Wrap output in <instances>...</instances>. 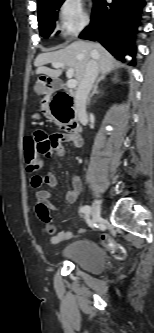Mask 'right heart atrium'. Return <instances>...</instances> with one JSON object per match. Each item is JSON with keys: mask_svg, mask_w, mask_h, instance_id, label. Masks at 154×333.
<instances>
[{"mask_svg": "<svg viewBox=\"0 0 154 333\" xmlns=\"http://www.w3.org/2000/svg\"><path fill=\"white\" fill-rule=\"evenodd\" d=\"M57 19L58 29L64 36H76L90 23L82 0H61Z\"/></svg>", "mask_w": 154, "mask_h": 333, "instance_id": "obj_1", "label": "right heart atrium"}]
</instances>
